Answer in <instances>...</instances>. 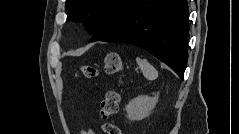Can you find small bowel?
Listing matches in <instances>:
<instances>
[{
    "mask_svg": "<svg viewBox=\"0 0 239 134\" xmlns=\"http://www.w3.org/2000/svg\"><path fill=\"white\" fill-rule=\"evenodd\" d=\"M83 134H93V132L90 129H85Z\"/></svg>",
    "mask_w": 239,
    "mask_h": 134,
    "instance_id": "1",
    "label": "small bowel"
}]
</instances>
